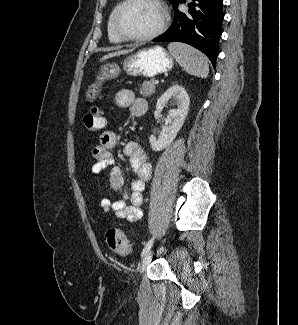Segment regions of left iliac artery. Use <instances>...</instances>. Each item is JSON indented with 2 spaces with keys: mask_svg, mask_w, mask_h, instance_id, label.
<instances>
[{
  "mask_svg": "<svg viewBox=\"0 0 298 325\" xmlns=\"http://www.w3.org/2000/svg\"><path fill=\"white\" fill-rule=\"evenodd\" d=\"M152 244H153V238L150 239V240L147 242V244L145 245V247H144V249H143V251H142V253H141V257H143V256H144V255H145V254L150 250Z\"/></svg>",
  "mask_w": 298,
  "mask_h": 325,
  "instance_id": "obj_1",
  "label": "left iliac artery"
}]
</instances>
